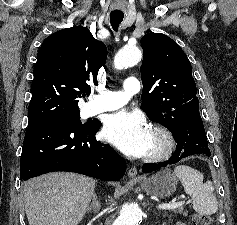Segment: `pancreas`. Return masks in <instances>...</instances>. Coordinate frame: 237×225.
I'll return each mask as SVG.
<instances>
[{"instance_id": "obj_1", "label": "pancreas", "mask_w": 237, "mask_h": 225, "mask_svg": "<svg viewBox=\"0 0 237 225\" xmlns=\"http://www.w3.org/2000/svg\"><path fill=\"white\" fill-rule=\"evenodd\" d=\"M175 213H179V214H186V212H184L183 207L177 208L173 210Z\"/></svg>"}]
</instances>
